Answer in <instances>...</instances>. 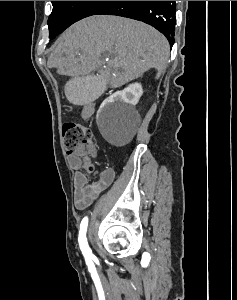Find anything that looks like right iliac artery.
<instances>
[{"label": "right iliac artery", "instance_id": "obj_1", "mask_svg": "<svg viewBox=\"0 0 237 300\" xmlns=\"http://www.w3.org/2000/svg\"><path fill=\"white\" fill-rule=\"evenodd\" d=\"M87 226H88V218L85 217L83 218L80 224L78 242L85 259L89 260V259H95V256L92 254V251L87 242V238H86Z\"/></svg>", "mask_w": 237, "mask_h": 300}]
</instances>
